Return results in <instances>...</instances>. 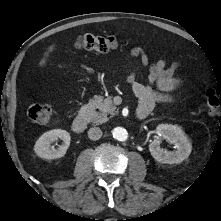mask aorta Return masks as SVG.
<instances>
[{
    "mask_svg": "<svg viewBox=\"0 0 221 221\" xmlns=\"http://www.w3.org/2000/svg\"><path fill=\"white\" fill-rule=\"evenodd\" d=\"M113 137L118 141H125L128 138L126 129L122 127H116L112 130Z\"/></svg>",
    "mask_w": 221,
    "mask_h": 221,
    "instance_id": "1",
    "label": "aorta"
}]
</instances>
